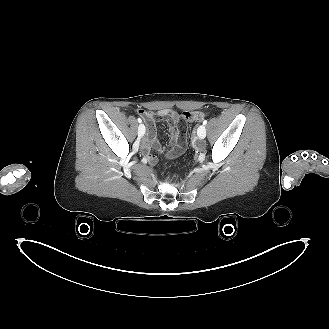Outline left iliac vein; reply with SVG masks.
Returning <instances> with one entry per match:
<instances>
[{
    "mask_svg": "<svg viewBox=\"0 0 329 329\" xmlns=\"http://www.w3.org/2000/svg\"><path fill=\"white\" fill-rule=\"evenodd\" d=\"M197 135L199 139H204L206 137V128L204 125H200L197 129Z\"/></svg>",
    "mask_w": 329,
    "mask_h": 329,
    "instance_id": "4c4485c4",
    "label": "left iliac vein"
}]
</instances>
